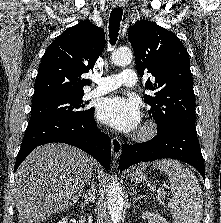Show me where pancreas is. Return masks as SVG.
Instances as JSON below:
<instances>
[{
    "label": "pancreas",
    "mask_w": 221,
    "mask_h": 223,
    "mask_svg": "<svg viewBox=\"0 0 221 223\" xmlns=\"http://www.w3.org/2000/svg\"><path fill=\"white\" fill-rule=\"evenodd\" d=\"M165 196L163 193H158L156 200L159 204L164 205Z\"/></svg>",
    "instance_id": "obj_1"
}]
</instances>
